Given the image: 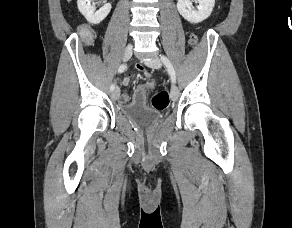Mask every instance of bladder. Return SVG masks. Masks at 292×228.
<instances>
[{
	"instance_id": "31cf9c89",
	"label": "bladder",
	"mask_w": 292,
	"mask_h": 228,
	"mask_svg": "<svg viewBox=\"0 0 292 228\" xmlns=\"http://www.w3.org/2000/svg\"><path fill=\"white\" fill-rule=\"evenodd\" d=\"M123 116L139 127H148L155 124L161 117L158 110L150 107L125 106L121 110Z\"/></svg>"
}]
</instances>
